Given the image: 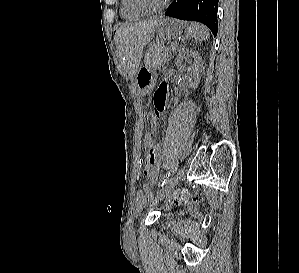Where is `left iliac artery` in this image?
<instances>
[{"instance_id":"1","label":"left iliac artery","mask_w":299,"mask_h":273,"mask_svg":"<svg viewBox=\"0 0 299 273\" xmlns=\"http://www.w3.org/2000/svg\"><path fill=\"white\" fill-rule=\"evenodd\" d=\"M174 169L175 168H172L167 174H165L163 177H162V179H161V181H160V183H159V187L161 186H163L164 184H165V182L169 179V177L172 175V173L174 172Z\"/></svg>"}]
</instances>
